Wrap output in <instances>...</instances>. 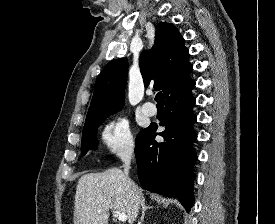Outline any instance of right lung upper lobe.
<instances>
[{
    "mask_svg": "<svg viewBox=\"0 0 275 224\" xmlns=\"http://www.w3.org/2000/svg\"><path fill=\"white\" fill-rule=\"evenodd\" d=\"M154 46L140 56V70L145 87L162 89L166 98L190 80L192 64L188 49L177 28L162 22L156 26ZM126 58L110 61L98 76L85 126L121 109L127 79Z\"/></svg>",
    "mask_w": 275,
    "mask_h": 224,
    "instance_id": "obj_1",
    "label": "right lung upper lobe"
}]
</instances>
